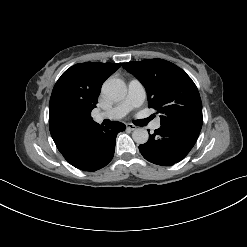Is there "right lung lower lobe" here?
<instances>
[{"instance_id":"obj_1","label":"right lung lower lobe","mask_w":247,"mask_h":247,"mask_svg":"<svg viewBox=\"0 0 247 247\" xmlns=\"http://www.w3.org/2000/svg\"><path fill=\"white\" fill-rule=\"evenodd\" d=\"M124 129L125 125L120 122H111L107 127L94 123L60 152L68 163L80 170H99L112 160L116 136Z\"/></svg>"}]
</instances>
